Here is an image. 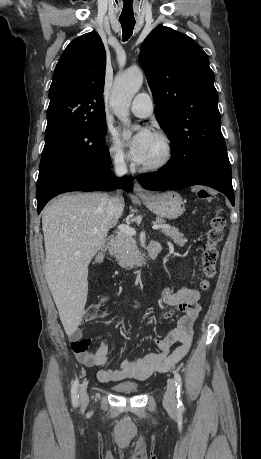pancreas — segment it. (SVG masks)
Here are the masks:
<instances>
[{"mask_svg": "<svg viewBox=\"0 0 261 459\" xmlns=\"http://www.w3.org/2000/svg\"><path fill=\"white\" fill-rule=\"evenodd\" d=\"M156 222L158 224H165V220L160 217L156 218ZM161 232L179 246H184L188 241L184 237V234L179 232L175 227L162 228ZM109 251L123 268L137 264L140 259V252L135 238L124 232H119L116 235Z\"/></svg>", "mask_w": 261, "mask_h": 459, "instance_id": "1", "label": "pancreas"}]
</instances>
